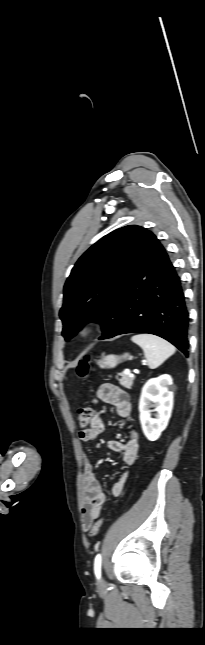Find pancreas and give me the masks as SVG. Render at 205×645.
Masks as SVG:
<instances>
[{"instance_id":"obj_1","label":"pancreas","mask_w":205,"mask_h":645,"mask_svg":"<svg viewBox=\"0 0 205 645\" xmlns=\"http://www.w3.org/2000/svg\"><path fill=\"white\" fill-rule=\"evenodd\" d=\"M118 375L120 376V378H117L119 383L122 386H124L125 388L130 389L132 384H133L134 377H131V376L125 374L124 372L119 373Z\"/></svg>"}]
</instances>
